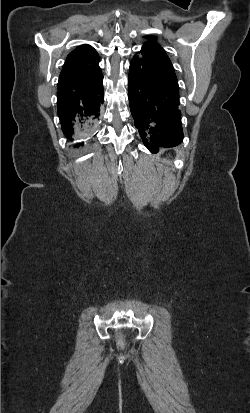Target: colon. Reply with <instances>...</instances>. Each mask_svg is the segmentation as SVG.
I'll return each mask as SVG.
<instances>
[{"label": "colon", "instance_id": "5ec220e1", "mask_svg": "<svg viewBox=\"0 0 250 413\" xmlns=\"http://www.w3.org/2000/svg\"><path fill=\"white\" fill-rule=\"evenodd\" d=\"M121 344H123L122 340H120Z\"/></svg>", "mask_w": 250, "mask_h": 413}]
</instances>
